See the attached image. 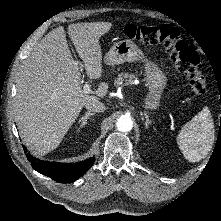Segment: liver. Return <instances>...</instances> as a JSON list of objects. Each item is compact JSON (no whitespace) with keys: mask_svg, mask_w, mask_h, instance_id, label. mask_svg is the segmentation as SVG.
Segmentation results:
<instances>
[{"mask_svg":"<svg viewBox=\"0 0 221 221\" xmlns=\"http://www.w3.org/2000/svg\"><path fill=\"white\" fill-rule=\"evenodd\" d=\"M111 27L110 22H88L70 24L67 28L91 79L102 77L99 39ZM79 69L62 26L45 35L20 66L14 104L16 123L33 153L44 154L58 147L83 106L107 94L106 83L93 92L96 95L83 93Z\"/></svg>","mask_w":221,"mask_h":221,"instance_id":"1","label":"liver"}]
</instances>
